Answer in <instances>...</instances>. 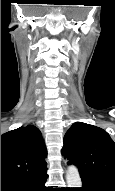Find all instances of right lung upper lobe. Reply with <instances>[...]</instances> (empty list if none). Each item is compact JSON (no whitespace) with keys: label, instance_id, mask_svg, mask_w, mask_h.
Here are the masks:
<instances>
[{"label":"right lung upper lobe","instance_id":"1","mask_svg":"<svg viewBox=\"0 0 115 191\" xmlns=\"http://www.w3.org/2000/svg\"><path fill=\"white\" fill-rule=\"evenodd\" d=\"M47 150L40 130L28 125L1 135V182L21 181L47 171Z\"/></svg>","mask_w":115,"mask_h":191}]
</instances>
